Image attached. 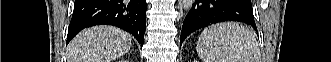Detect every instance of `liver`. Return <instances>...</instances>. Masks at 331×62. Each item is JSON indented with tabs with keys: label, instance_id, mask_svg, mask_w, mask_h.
I'll return each mask as SVG.
<instances>
[{
	"label": "liver",
	"instance_id": "1",
	"mask_svg": "<svg viewBox=\"0 0 331 62\" xmlns=\"http://www.w3.org/2000/svg\"><path fill=\"white\" fill-rule=\"evenodd\" d=\"M132 38L113 26H95L80 32L69 44L68 62H112L125 55Z\"/></svg>",
	"mask_w": 331,
	"mask_h": 62
}]
</instances>
